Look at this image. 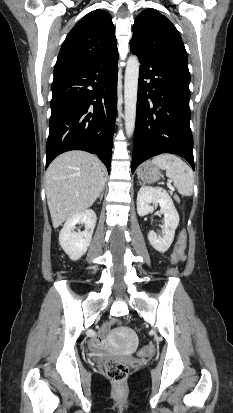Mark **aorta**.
I'll return each mask as SVG.
<instances>
[{
    "label": "aorta",
    "instance_id": "1",
    "mask_svg": "<svg viewBox=\"0 0 233 413\" xmlns=\"http://www.w3.org/2000/svg\"><path fill=\"white\" fill-rule=\"evenodd\" d=\"M139 69L138 57L135 55L130 56L127 60L124 80V120L125 132L128 137L132 136L135 129Z\"/></svg>",
    "mask_w": 233,
    "mask_h": 413
}]
</instances>
